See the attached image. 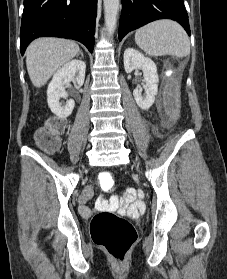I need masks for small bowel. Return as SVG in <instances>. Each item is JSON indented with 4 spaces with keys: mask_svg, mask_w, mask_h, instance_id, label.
<instances>
[{
    "mask_svg": "<svg viewBox=\"0 0 227 279\" xmlns=\"http://www.w3.org/2000/svg\"><path fill=\"white\" fill-rule=\"evenodd\" d=\"M95 191H100V189L95 185H90L80 196L81 205L78 207V211L81 215L89 216L92 211L108 209L111 211L118 210L120 213L136 217L145 209V203L142 200H134L133 197L128 196H125L124 199H121L118 196H112L108 200L101 192L95 201L94 207L85 205L86 202L92 199Z\"/></svg>",
    "mask_w": 227,
    "mask_h": 279,
    "instance_id": "c3829d8e",
    "label": "small bowel"
}]
</instances>
